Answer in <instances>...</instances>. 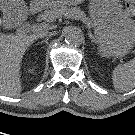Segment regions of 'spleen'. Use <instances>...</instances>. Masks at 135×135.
Here are the masks:
<instances>
[{
    "label": "spleen",
    "instance_id": "3e777b00",
    "mask_svg": "<svg viewBox=\"0 0 135 135\" xmlns=\"http://www.w3.org/2000/svg\"><path fill=\"white\" fill-rule=\"evenodd\" d=\"M114 88L118 91H129L135 87V58L118 65L112 74Z\"/></svg>",
    "mask_w": 135,
    "mask_h": 135
}]
</instances>
